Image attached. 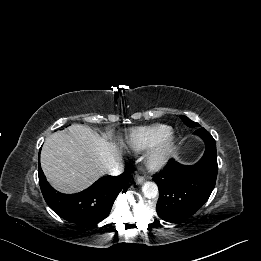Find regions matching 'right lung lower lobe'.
Instances as JSON below:
<instances>
[{
	"label": "right lung lower lobe",
	"mask_w": 261,
	"mask_h": 261,
	"mask_svg": "<svg viewBox=\"0 0 261 261\" xmlns=\"http://www.w3.org/2000/svg\"><path fill=\"white\" fill-rule=\"evenodd\" d=\"M39 184L49 207L65 220L82 226H94L106 218L120 193L128 185L129 175L104 176L88 189L76 194L56 192L38 168Z\"/></svg>",
	"instance_id": "1"
}]
</instances>
